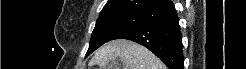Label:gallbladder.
Instances as JSON below:
<instances>
[{
	"instance_id": "obj_1",
	"label": "gallbladder",
	"mask_w": 246,
	"mask_h": 69,
	"mask_svg": "<svg viewBox=\"0 0 246 69\" xmlns=\"http://www.w3.org/2000/svg\"><path fill=\"white\" fill-rule=\"evenodd\" d=\"M105 68L106 69H122V66L119 64H108Z\"/></svg>"
}]
</instances>
